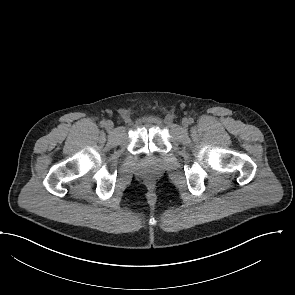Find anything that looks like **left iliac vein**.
<instances>
[{"label": "left iliac vein", "mask_w": 295, "mask_h": 295, "mask_svg": "<svg viewBox=\"0 0 295 295\" xmlns=\"http://www.w3.org/2000/svg\"><path fill=\"white\" fill-rule=\"evenodd\" d=\"M189 124H190V123H189V119L184 118V119L182 120V126H183L184 128L188 127Z\"/></svg>", "instance_id": "1"}]
</instances>
